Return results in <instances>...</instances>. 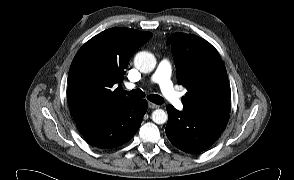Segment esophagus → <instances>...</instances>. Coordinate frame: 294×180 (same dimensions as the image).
Here are the masks:
<instances>
[{
	"mask_svg": "<svg viewBox=\"0 0 294 180\" xmlns=\"http://www.w3.org/2000/svg\"><path fill=\"white\" fill-rule=\"evenodd\" d=\"M148 106H149V108H151V109H156V108H159V107H160L159 105H157V104H155V103H152V102H149V103H148Z\"/></svg>",
	"mask_w": 294,
	"mask_h": 180,
	"instance_id": "34e87169",
	"label": "esophagus"
}]
</instances>
